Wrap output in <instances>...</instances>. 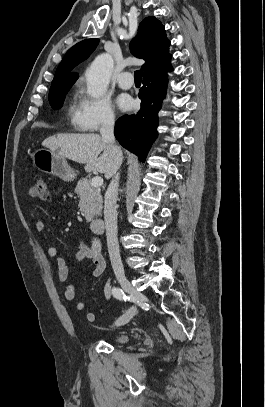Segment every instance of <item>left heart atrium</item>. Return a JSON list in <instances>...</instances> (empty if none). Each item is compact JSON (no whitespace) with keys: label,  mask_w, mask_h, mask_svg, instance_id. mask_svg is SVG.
<instances>
[{"label":"left heart atrium","mask_w":265,"mask_h":407,"mask_svg":"<svg viewBox=\"0 0 265 407\" xmlns=\"http://www.w3.org/2000/svg\"><path fill=\"white\" fill-rule=\"evenodd\" d=\"M117 105L123 111H128L133 107L132 99L127 95H121L117 98Z\"/></svg>","instance_id":"obj_1"}]
</instances>
